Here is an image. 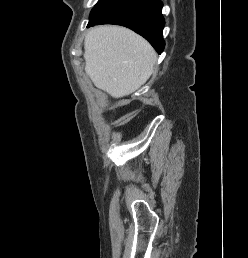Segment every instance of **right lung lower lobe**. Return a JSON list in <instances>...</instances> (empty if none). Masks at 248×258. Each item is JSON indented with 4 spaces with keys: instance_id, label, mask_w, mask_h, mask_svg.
I'll list each match as a JSON object with an SVG mask.
<instances>
[{
    "instance_id": "obj_1",
    "label": "right lung lower lobe",
    "mask_w": 248,
    "mask_h": 258,
    "mask_svg": "<svg viewBox=\"0 0 248 258\" xmlns=\"http://www.w3.org/2000/svg\"><path fill=\"white\" fill-rule=\"evenodd\" d=\"M162 2L159 0H118L110 9L88 26L117 24L130 28L147 39L161 54L165 42L162 31L165 24L162 16Z\"/></svg>"
}]
</instances>
